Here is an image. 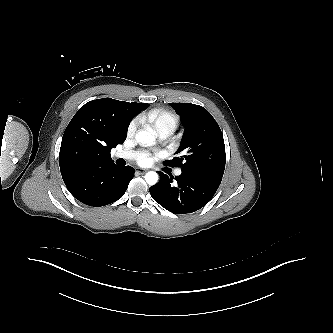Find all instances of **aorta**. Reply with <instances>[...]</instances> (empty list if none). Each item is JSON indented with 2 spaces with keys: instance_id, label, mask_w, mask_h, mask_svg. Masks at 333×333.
Returning a JSON list of instances; mask_svg holds the SVG:
<instances>
[{
  "instance_id": "1",
  "label": "aorta",
  "mask_w": 333,
  "mask_h": 333,
  "mask_svg": "<svg viewBox=\"0 0 333 333\" xmlns=\"http://www.w3.org/2000/svg\"><path fill=\"white\" fill-rule=\"evenodd\" d=\"M156 131L154 130H140L136 133L135 139L140 144L149 145L155 141ZM158 174L154 171L147 172L145 181L148 185H155L158 181Z\"/></svg>"
}]
</instances>
